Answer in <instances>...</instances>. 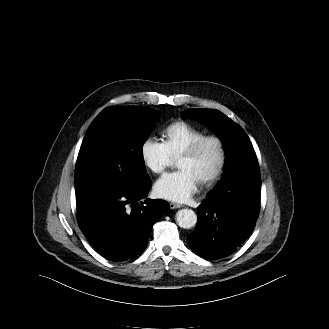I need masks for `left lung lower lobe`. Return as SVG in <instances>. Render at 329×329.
<instances>
[{
	"label": "left lung lower lobe",
	"instance_id": "obj_1",
	"mask_svg": "<svg viewBox=\"0 0 329 329\" xmlns=\"http://www.w3.org/2000/svg\"><path fill=\"white\" fill-rule=\"evenodd\" d=\"M224 186V198H206L197 207L199 223L188 235L191 250L207 259H220L236 251L252 233L259 214L258 164Z\"/></svg>",
	"mask_w": 329,
	"mask_h": 329
}]
</instances>
